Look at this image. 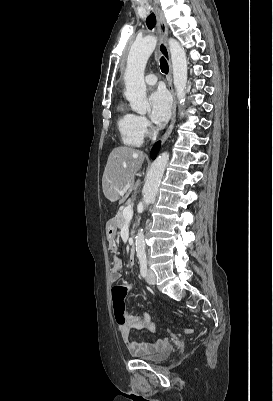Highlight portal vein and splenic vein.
<instances>
[{
	"label": "portal vein and splenic vein",
	"instance_id": "portal-vein-and-splenic-vein-1",
	"mask_svg": "<svg viewBox=\"0 0 273 401\" xmlns=\"http://www.w3.org/2000/svg\"><path fill=\"white\" fill-rule=\"evenodd\" d=\"M130 184H126V186H124L123 190H120L119 194H125L126 190H128ZM123 217L124 219H127V221H131L132 217H133V209L132 207H125V209H123Z\"/></svg>",
	"mask_w": 273,
	"mask_h": 401
}]
</instances>
